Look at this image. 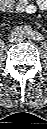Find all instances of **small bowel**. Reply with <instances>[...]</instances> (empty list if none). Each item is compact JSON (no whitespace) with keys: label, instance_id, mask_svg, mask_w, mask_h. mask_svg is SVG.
I'll return each mask as SVG.
<instances>
[{"label":"small bowel","instance_id":"small-bowel-1","mask_svg":"<svg viewBox=\"0 0 47 129\" xmlns=\"http://www.w3.org/2000/svg\"><path fill=\"white\" fill-rule=\"evenodd\" d=\"M1 10L4 12L15 11L17 13L33 14L38 10H45L47 8V0H35L34 3L30 0H0Z\"/></svg>","mask_w":47,"mask_h":129}]
</instances>
